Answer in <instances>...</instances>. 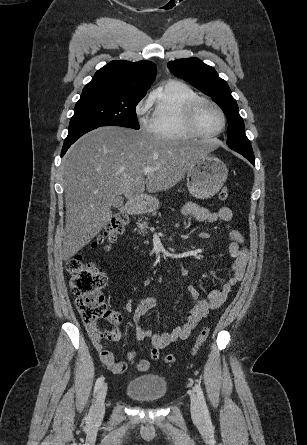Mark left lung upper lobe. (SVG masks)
<instances>
[{
  "mask_svg": "<svg viewBox=\"0 0 307 445\" xmlns=\"http://www.w3.org/2000/svg\"><path fill=\"white\" fill-rule=\"evenodd\" d=\"M167 66L174 75L181 77L210 96L222 108L229 124V147L235 151L253 152L245 134L244 122L239 114L238 105L231 96L228 84L218 76L215 69L198 58L170 61Z\"/></svg>",
  "mask_w": 307,
  "mask_h": 445,
  "instance_id": "1",
  "label": "left lung upper lobe"
}]
</instances>
